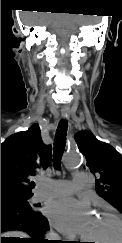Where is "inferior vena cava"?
Wrapping results in <instances>:
<instances>
[{
	"label": "inferior vena cava",
	"instance_id": "602c4592",
	"mask_svg": "<svg viewBox=\"0 0 122 243\" xmlns=\"http://www.w3.org/2000/svg\"><path fill=\"white\" fill-rule=\"evenodd\" d=\"M46 238H48L49 240H56L58 238V235L53 232H49L46 234Z\"/></svg>",
	"mask_w": 122,
	"mask_h": 243
}]
</instances>
